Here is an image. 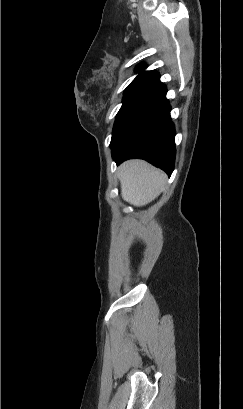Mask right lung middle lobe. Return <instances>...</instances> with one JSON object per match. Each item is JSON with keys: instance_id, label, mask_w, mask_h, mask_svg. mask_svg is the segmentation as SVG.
Masks as SVG:
<instances>
[{"instance_id": "right-lung-middle-lobe-1", "label": "right lung middle lobe", "mask_w": 243, "mask_h": 409, "mask_svg": "<svg viewBox=\"0 0 243 409\" xmlns=\"http://www.w3.org/2000/svg\"><path fill=\"white\" fill-rule=\"evenodd\" d=\"M160 85L161 82L154 79H135L132 81L124 92L123 105L116 116L111 142L116 138L118 132L134 111Z\"/></svg>"}]
</instances>
